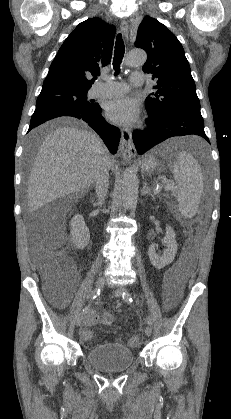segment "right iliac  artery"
I'll use <instances>...</instances> for the list:
<instances>
[{
    "label": "right iliac artery",
    "mask_w": 231,
    "mask_h": 419,
    "mask_svg": "<svg viewBox=\"0 0 231 419\" xmlns=\"http://www.w3.org/2000/svg\"><path fill=\"white\" fill-rule=\"evenodd\" d=\"M100 294V289H95L92 293H91V301H93L95 298H97ZM90 304L88 306H86L83 309V313H87L89 310Z\"/></svg>",
    "instance_id": "obj_1"
}]
</instances>
